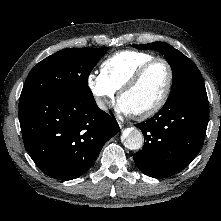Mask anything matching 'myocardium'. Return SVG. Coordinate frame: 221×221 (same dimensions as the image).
I'll use <instances>...</instances> for the list:
<instances>
[{
  "instance_id": "obj_1",
  "label": "myocardium",
  "mask_w": 221,
  "mask_h": 221,
  "mask_svg": "<svg viewBox=\"0 0 221 221\" xmlns=\"http://www.w3.org/2000/svg\"><path fill=\"white\" fill-rule=\"evenodd\" d=\"M156 63H162L167 68L168 81H167L166 88H165L162 96L160 97V99L153 106H151L150 108H148L146 110L132 113V115L136 118H139V119L149 118V117L155 115L156 113H158L166 104V102L170 96V93H171V90L173 87V81H174V71H173L171 64L166 59H163V58L151 59V60L145 62L144 64H142L119 89L118 100L120 101L122 96L126 92L131 90L140 81V79L143 77V75L146 73V71Z\"/></svg>"
}]
</instances>
